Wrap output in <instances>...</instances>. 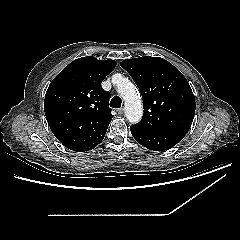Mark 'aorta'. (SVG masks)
<instances>
[{
    "mask_svg": "<svg viewBox=\"0 0 240 240\" xmlns=\"http://www.w3.org/2000/svg\"><path fill=\"white\" fill-rule=\"evenodd\" d=\"M112 80L117 84V91L125 101L126 119L132 124L138 123L143 115V105L136 86L118 74L114 75Z\"/></svg>",
    "mask_w": 240,
    "mask_h": 240,
    "instance_id": "aorta-1",
    "label": "aorta"
}]
</instances>
